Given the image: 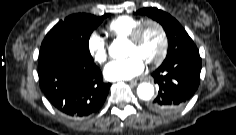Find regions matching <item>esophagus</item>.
<instances>
[{"instance_id":"esophagus-1","label":"esophagus","mask_w":236,"mask_h":135,"mask_svg":"<svg viewBox=\"0 0 236 135\" xmlns=\"http://www.w3.org/2000/svg\"><path fill=\"white\" fill-rule=\"evenodd\" d=\"M141 81H142L141 79H136V80H130L129 83H130L131 85H134V86H135V85L139 84Z\"/></svg>"}]
</instances>
